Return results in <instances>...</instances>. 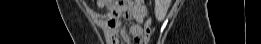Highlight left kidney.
Returning <instances> with one entry per match:
<instances>
[{
	"label": "left kidney",
	"instance_id": "5707ae66",
	"mask_svg": "<svg viewBox=\"0 0 261 44\" xmlns=\"http://www.w3.org/2000/svg\"><path fill=\"white\" fill-rule=\"evenodd\" d=\"M169 5H170V0H155L154 12H155V17L158 21L164 20Z\"/></svg>",
	"mask_w": 261,
	"mask_h": 44
}]
</instances>
